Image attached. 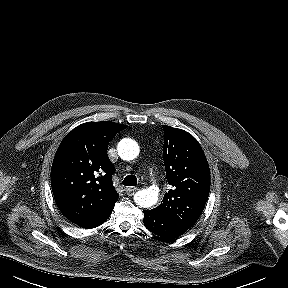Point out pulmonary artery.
Masks as SVG:
<instances>
[{
  "label": "pulmonary artery",
  "instance_id": "obj_1",
  "mask_svg": "<svg viewBox=\"0 0 288 288\" xmlns=\"http://www.w3.org/2000/svg\"><path fill=\"white\" fill-rule=\"evenodd\" d=\"M150 170H151V171L153 170V167H152V166L150 167Z\"/></svg>",
  "mask_w": 288,
  "mask_h": 288
}]
</instances>
